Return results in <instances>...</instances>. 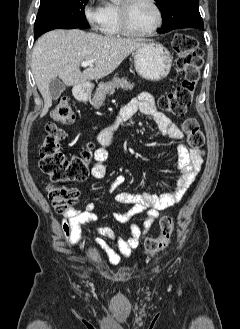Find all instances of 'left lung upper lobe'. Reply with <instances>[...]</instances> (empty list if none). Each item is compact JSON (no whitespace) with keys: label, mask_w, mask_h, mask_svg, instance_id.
<instances>
[{"label":"left lung upper lobe","mask_w":240,"mask_h":329,"mask_svg":"<svg viewBox=\"0 0 240 329\" xmlns=\"http://www.w3.org/2000/svg\"><path fill=\"white\" fill-rule=\"evenodd\" d=\"M162 13L163 25L160 33L177 28L194 27L204 29L199 13V0H155Z\"/></svg>","instance_id":"1"}]
</instances>
